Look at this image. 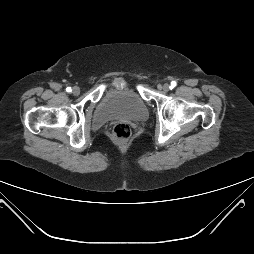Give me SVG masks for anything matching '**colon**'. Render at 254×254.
Segmentation results:
<instances>
[{"instance_id":"5ec220e1","label":"colon","mask_w":254,"mask_h":254,"mask_svg":"<svg viewBox=\"0 0 254 254\" xmlns=\"http://www.w3.org/2000/svg\"><path fill=\"white\" fill-rule=\"evenodd\" d=\"M113 136L119 142H126L131 137V128L126 123H118L113 128Z\"/></svg>"}]
</instances>
